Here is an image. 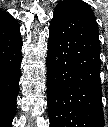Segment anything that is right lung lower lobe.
<instances>
[{
	"label": "right lung lower lobe",
	"instance_id": "1",
	"mask_svg": "<svg viewBox=\"0 0 108 127\" xmlns=\"http://www.w3.org/2000/svg\"><path fill=\"white\" fill-rule=\"evenodd\" d=\"M22 39L18 22L0 20V125L9 127L19 91Z\"/></svg>",
	"mask_w": 108,
	"mask_h": 127
}]
</instances>
